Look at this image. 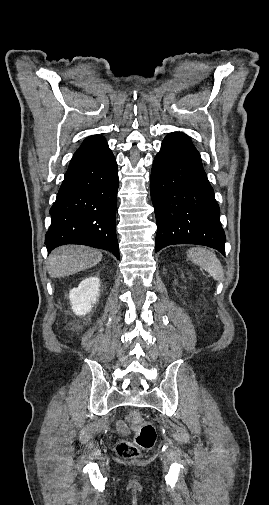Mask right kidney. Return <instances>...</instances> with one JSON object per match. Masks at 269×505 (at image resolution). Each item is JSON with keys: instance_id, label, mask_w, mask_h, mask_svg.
Returning a JSON list of instances; mask_svg holds the SVG:
<instances>
[{"instance_id": "1", "label": "right kidney", "mask_w": 269, "mask_h": 505, "mask_svg": "<svg viewBox=\"0 0 269 505\" xmlns=\"http://www.w3.org/2000/svg\"><path fill=\"white\" fill-rule=\"evenodd\" d=\"M100 280L97 277L84 279L77 288L69 293L73 312L78 316L86 315L99 296Z\"/></svg>"}]
</instances>
